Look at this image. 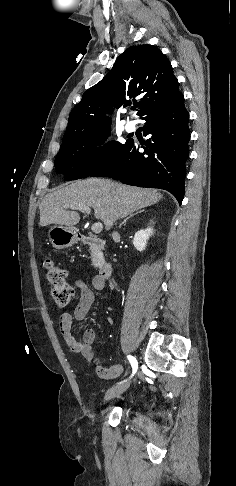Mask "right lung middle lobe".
<instances>
[{"label": "right lung middle lobe", "mask_w": 236, "mask_h": 486, "mask_svg": "<svg viewBox=\"0 0 236 486\" xmlns=\"http://www.w3.org/2000/svg\"><path fill=\"white\" fill-rule=\"evenodd\" d=\"M109 134L110 127L62 144L55 158L57 172L64 174L66 180L89 177L130 141L125 144L113 141L96 148Z\"/></svg>", "instance_id": "dd1d6c3e"}]
</instances>
